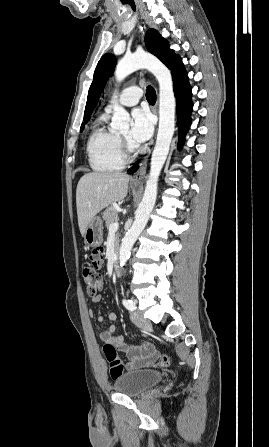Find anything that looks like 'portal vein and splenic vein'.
<instances>
[{"instance_id": "obj_1", "label": "portal vein and splenic vein", "mask_w": 269, "mask_h": 447, "mask_svg": "<svg viewBox=\"0 0 269 447\" xmlns=\"http://www.w3.org/2000/svg\"><path fill=\"white\" fill-rule=\"evenodd\" d=\"M118 227H119L118 220H115L113 224L109 225V231H117Z\"/></svg>"}]
</instances>
